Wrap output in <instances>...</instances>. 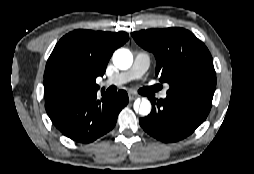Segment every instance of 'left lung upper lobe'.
Wrapping results in <instances>:
<instances>
[{
    "label": "left lung upper lobe",
    "mask_w": 254,
    "mask_h": 174,
    "mask_svg": "<svg viewBox=\"0 0 254 174\" xmlns=\"http://www.w3.org/2000/svg\"><path fill=\"white\" fill-rule=\"evenodd\" d=\"M134 40L156 57V76L169 84L167 96L191 97L211 105L216 88L212 56L190 31L171 27L133 32Z\"/></svg>",
    "instance_id": "obj_1"
}]
</instances>
